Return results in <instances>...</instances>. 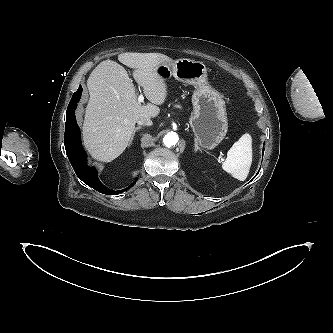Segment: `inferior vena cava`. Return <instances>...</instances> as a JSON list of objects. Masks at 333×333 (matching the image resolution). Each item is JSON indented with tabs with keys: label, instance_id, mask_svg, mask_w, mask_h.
Listing matches in <instances>:
<instances>
[{
	"label": "inferior vena cava",
	"instance_id": "602c4592",
	"mask_svg": "<svg viewBox=\"0 0 333 333\" xmlns=\"http://www.w3.org/2000/svg\"><path fill=\"white\" fill-rule=\"evenodd\" d=\"M137 123L139 125H145V126H151L152 125V121L148 117H141L140 119L137 120Z\"/></svg>",
	"mask_w": 333,
	"mask_h": 333
}]
</instances>
